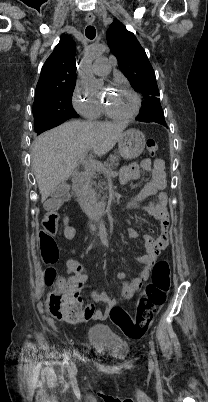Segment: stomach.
Returning <instances> with one entry per match:
<instances>
[{
    "label": "stomach",
    "instance_id": "stomach-1",
    "mask_svg": "<svg viewBox=\"0 0 208 402\" xmlns=\"http://www.w3.org/2000/svg\"><path fill=\"white\" fill-rule=\"evenodd\" d=\"M145 148V136L139 130H126L118 140V150L124 160H134Z\"/></svg>",
    "mask_w": 208,
    "mask_h": 402
}]
</instances>
